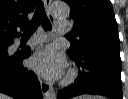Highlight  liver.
Masks as SVG:
<instances>
[{"instance_id":"obj_1","label":"liver","mask_w":128,"mask_h":99,"mask_svg":"<svg viewBox=\"0 0 128 99\" xmlns=\"http://www.w3.org/2000/svg\"><path fill=\"white\" fill-rule=\"evenodd\" d=\"M85 98V97H84ZM83 98V99H84ZM0 99H11L10 97H8V96H6V95H4V94H1L0 93ZM98 99H101V98H98Z\"/></svg>"}]
</instances>
